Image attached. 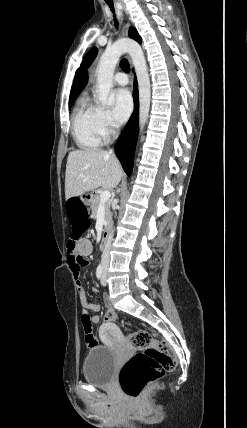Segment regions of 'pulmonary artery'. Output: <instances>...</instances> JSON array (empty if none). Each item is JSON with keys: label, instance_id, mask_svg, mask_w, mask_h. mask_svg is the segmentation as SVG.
<instances>
[{"label": "pulmonary artery", "instance_id": "pulmonary-artery-1", "mask_svg": "<svg viewBox=\"0 0 247 428\" xmlns=\"http://www.w3.org/2000/svg\"><path fill=\"white\" fill-rule=\"evenodd\" d=\"M114 82L118 85L125 86L128 84L129 80L126 74H124L123 72H117L114 75Z\"/></svg>", "mask_w": 247, "mask_h": 428}]
</instances>
